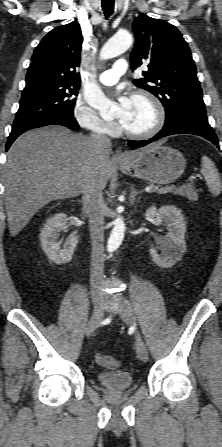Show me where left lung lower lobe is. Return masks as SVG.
Returning <instances> with one entry per match:
<instances>
[{
	"mask_svg": "<svg viewBox=\"0 0 222 447\" xmlns=\"http://www.w3.org/2000/svg\"><path fill=\"white\" fill-rule=\"evenodd\" d=\"M173 134H194L202 136L211 141L219 148V142L216 134L209 125L208 121L193 117L188 114H177L165 122L162 130L153 138L144 141H129L128 145L132 149L143 147L153 141Z\"/></svg>",
	"mask_w": 222,
	"mask_h": 447,
	"instance_id": "left-lung-lower-lobe-1",
	"label": "left lung lower lobe"
}]
</instances>
